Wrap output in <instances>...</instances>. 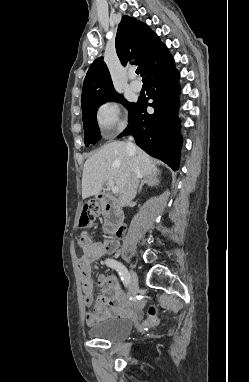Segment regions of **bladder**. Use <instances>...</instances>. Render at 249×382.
<instances>
[{"label": "bladder", "mask_w": 249, "mask_h": 382, "mask_svg": "<svg viewBox=\"0 0 249 382\" xmlns=\"http://www.w3.org/2000/svg\"><path fill=\"white\" fill-rule=\"evenodd\" d=\"M133 330V322L129 318H110L96 323L89 329L95 339L119 342L127 339Z\"/></svg>", "instance_id": "bladder-1"}]
</instances>
